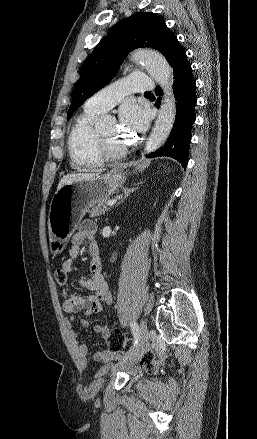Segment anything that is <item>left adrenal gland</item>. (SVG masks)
<instances>
[{"label": "left adrenal gland", "mask_w": 257, "mask_h": 439, "mask_svg": "<svg viewBox=\"0 0 257 439\" xmlns=\"http://www.w3.org/2000/svg\"><path fill=\"white\" fill-rule=\"evenodd\" d=\"M138 187L136 188H123L124 196L120 199V201L117 203L119 205L121 202L124 201L126 197H128L132 192H134Z\"/></svg>", "instance_id": "1"}]
</instances>
